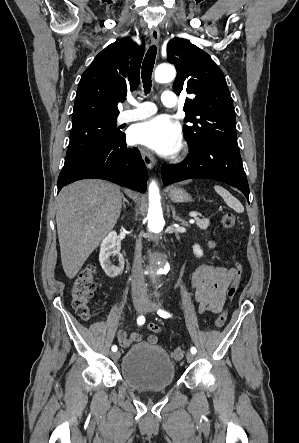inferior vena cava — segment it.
<instances>
[{"label":"inferior vena cava","instance_id":"1","mask_svg":"<svg viewBox=\"0 0 299 443\" xmlns=\"http://www.w3.org/2000/svg\"><path fill=\"white\" fill-rule=\"evenodd\" d=\"M142 242L141 237L136 241L135 245V256L132 268V295L134 297L145 296L146 295V284L142 274Z\"/></svg>","mask_w":299,"mask_h":443}]
</instances>
